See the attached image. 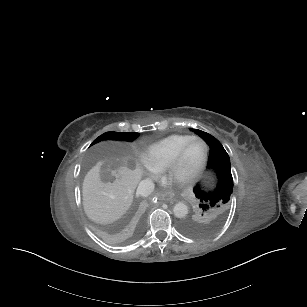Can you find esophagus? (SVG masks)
<instances>
[{
  "label": "esophagus",
  "instance_id": "34e87169",
  "mask_svg": "<svg viewBox=\"0 0 307 307\" xmlns=\"http://www.w3.org/2000/svg\"><path fill=\"white\" fill-rule=\"evenodd\" d=\"M159 200L161 201H170L172 199V194H165V193H157L156 195Z\"/></svg>",
  "mask_w": 307,
  "mask_h": 307
}]
</instances>
